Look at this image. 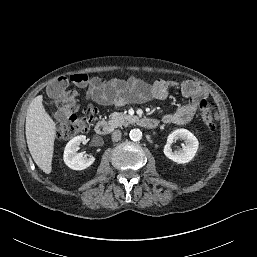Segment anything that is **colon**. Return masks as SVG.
I'll use <instances>...</instances> for the list:
<instances>
[{"label": "colon", "mask_w": 257, "mask_h": 257, "mask_svg": "<svg viewBox=\"0 0 257 257\" xmlns=\"http://www.w3.org/2000/svg\"><path fill=\"white\" fill-rule=\"evenodd\" d=\"M89 81L86 74H72L56 78L49 87V93L55 97L58 114L61 121L57 124L56 136L59 139L68 140L76 135L86 132L97 121L96 111L89 107L83 117L74 114L77 110V94L69 90V84L85 86ZM201 119L205 129L213 134L215 123L213 119L214 103L210 99L203 98L200 101Z\"/></svg>", "instance_id": "5ec220e1"}]
</instances>
